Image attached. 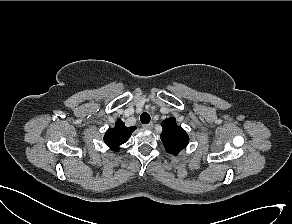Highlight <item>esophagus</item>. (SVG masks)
I'll return each instance as SVG.
<instances>
[{
  "label": "esophagus",
  "instance_id": "obj_1",
  "mask_svg": "<svg viewBox=\"0 0 292 224\" xmlns=\"http://www.w3.org/2000/svg\"><path fill=\"white\" fill-rule=\"evenodd\" d=\"M143 127H144V128H147V129H151V128H153V123L150 122V123H148V124H144Z\"/></svg>",
  "mask_w": 292,
  "mask_h": 224
}]
</instances>
